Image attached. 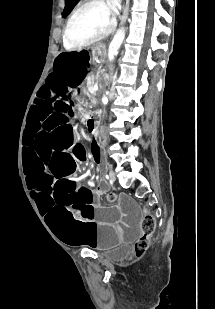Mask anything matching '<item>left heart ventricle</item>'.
I'll return each mask as SVG.
<instances>
[{"instance_id":"obj_1","label":"left heart ventricle","mask_w":215,"mask_h":309,"mask_svg":"<svg viewBox=\"0 0 215 309\" xmlns=\"http://www.w3.org/2000/svg\"><path fill=\"white\" fill-rule=\"evenodd\" d=\"M81 18L74 20L68 35L70 39L76 41H89V34H94V29H105L108 20L104 18V9L100 7H91L79 13Z\"/></svg>"}]
</instances>
